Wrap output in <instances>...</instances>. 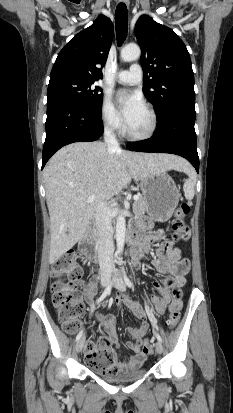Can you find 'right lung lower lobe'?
Returning <instances> with one entry per match:
<instances>
[{
	"instance_id": "right-lung-lower-lobe-1",
	"label": "right lung lower lobe",
	"mask_w": 233,
	"mask_h": 413,
	"mask_svg": "<svg viewBox=\"0 0 233 413\" xmlns=\"http://www.w3.org/2000/svg\"><path fill=\"white\" fill-rule=\"evenodd\" d=\"M102 134L101 112H93L73 101L56 100L47 103L42 169L61 147L74 142L95 141Z\"/></svg>"
}]
</instances>
